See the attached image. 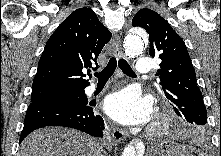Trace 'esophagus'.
Wrapping results in <instances>:
<instances>
[{
	"label": "esophagus",
	"instance_id": "1",
	"mask_svg": "<svg viewBox=\"0 0 221 156\" xmlns=\"http://www.w3.org/2000/svg\"><path fill=\"white\" fill-rule=\"evenodd\" d=\"M112 51L118 57H123L121 39L119 35H115L112 41ZM112 137L115 142H121L127 137V133L123 130L114 129L112 131Z\"/></svg>",
	"mask_w": 221,
	"mask_h": 156
}]
</instances>
